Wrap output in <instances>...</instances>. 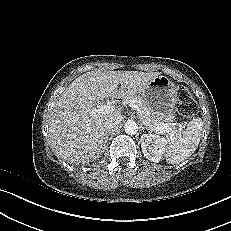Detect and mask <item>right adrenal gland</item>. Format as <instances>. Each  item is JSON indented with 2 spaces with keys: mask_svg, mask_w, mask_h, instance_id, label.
I'll return each instance as SVG.
<instances>
[{
  "mask_svg": "<svg viewBox=\"0 0 231 231\" xmlns=\"http://www.w3.org/2000/svg\"><path fill=\"white\" fill-rule=\"evenodd\" d=\"M108 140H109V134L106 136V139H105L104 147H103V148H105V147H106Z\"/></svg>",
  "mask_w": 231,
  "mask_h": 231,
  "instance_id": "1",
  "label": "right adrenal gland"
}]
</instances>
